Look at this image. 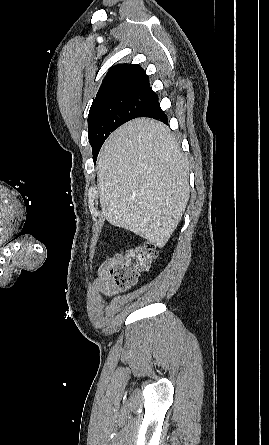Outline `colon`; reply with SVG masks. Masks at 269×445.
Instances as JSON below:
<instances>
[{"label": "colon", "mask_w": 269, "mask_h": 445, "mask_svg": "<svg viewBox=\"0 0 269 445\" xmlns=\"http://www.w3.org/2000/svg\"><path fill=\"white\" fill-rule=\"evenodd\" d=\"M156 256V247L148 241H143L134 247L128 248L112 270L115 286L126 289L135 285L140 270L149 267Z\"/></svg>", "instance_id": "obj_1"}]
</instances>
